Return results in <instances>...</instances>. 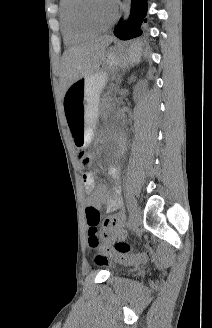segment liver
I'll list each match as a JSON object with an SVG mask.
<instances>
[{"label": "liver", "mask_w": 212, "mask_h": 328, "mask_svg": "<svg viewBox=\"0 0 212 328\" xmlns=\"http://www.w3.org/2000/svg\"><path fill=\"white\" fill-rule=\"evenodd\" d=\"M110 42V38L102 37L81 46L71 47L64 52L62 59V87L64 92L79 78L100 72V65L105 57V49Z\"/></svg>", "instance_id": "obj_1"}]
</instances>
